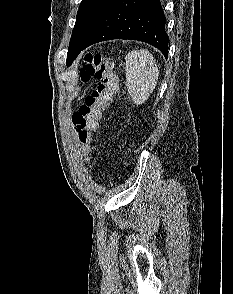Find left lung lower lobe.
Listing matches in <instances>:
<instances>
[{
	"label": "left lung lower lobe",
	"mask_w": 233,
	"mask_h": 294,
	"mask_svg": "<svg viewBox=\"0 0 233 294\" xmlns=\"http://www.w3.org/2000/svg\"><path fill=\"white\" fill-rule=\"evenodd\" d=\"M160 0H111L83 43L88 46L111 39L143 41L167 58L168 36Z\"/></svg>",
	"instance_id": "obj_1"
}]
</instances>
